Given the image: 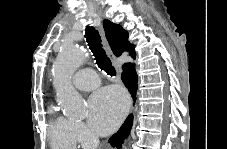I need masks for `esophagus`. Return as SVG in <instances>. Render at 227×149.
Segmentation results:
<instances>
[{
    "mask_svg": "<svg viewBox=\"0 0 227 149\" xmlns=\"http://www.w3.org/2000/svg\"><path fill=\"white\" fill-rule=\"evenodd\" d=\"M101 33H102V43H103V46H104V48H105V50H106V52H107L108 57L111 59V61H112L113 64L115 65L116 69H117L119 72H121V66L117 64V62H116V57H115V55L113 54V52H112V50H111V48H110V46H109V44H108V42H107L105 36H104V33H103V31H102V28H101Z\"/></svg>",
    "mask_w": 227,
    "mask_h": 149,
    "instance_id": "34e87169",
    "label": "esophagus"
}]
</instances>
